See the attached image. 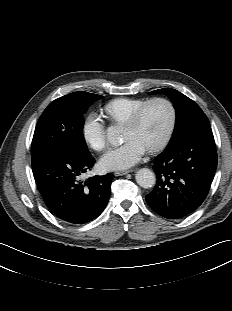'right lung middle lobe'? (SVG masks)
I'll return each instance as SVG.
<instances>
[{
    "label": "right lung middle lobe",
    "instance_id": "1",
    "mask_svg": "<svg viewBox=\"0 0 232 311\" xmlns=\"http://www.w3.org/2000/svg\"><path fill=\"white\" fill-rule=\"evenodd\" d=\"M101 98L103 96L78 91L49 104L36 125L31 154L55 149L71 152L81 158L90 157L83 136V114Z\"/></svg>",
    "mask_w": 232,
    "mask_h": 311
}]
</instances>
